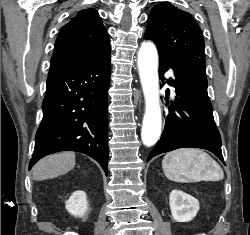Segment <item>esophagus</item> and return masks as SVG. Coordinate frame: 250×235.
Returning <instances> with one entry per match:
<instances>
[{
  "label": "esophagus",
  "instance_id": "34e87169",
  "mask_svg": "<svg viewBox=\"0 0 250 235\" xmlns=\"http://www.w3.org/2000/svg\"><path fill=\"white\" fill-rule=\"evenodd\" d=\"M135 101H136V102L141 101V98L137 96V97L135 98Z\"/></svg>",
  "mask_w": 250,
  "mask_h": 235
}]
</instances>
